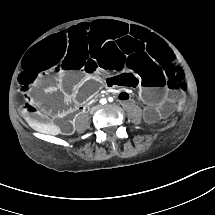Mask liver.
<instances>
[{
    "label": "liver",
    "instance_id": "6515ba94",
    "mask_svg": "<svg viewBox=\"0 0 215 215\" xmlns=\"http://www.w3.org/2000/svg\"><path fill=\"white\" fill-rule=\"evenodd\" d=\"M28 124L36 131L40 133H45L49 135H58L61 133V130L58 126L54 124H43V123H37L28 120Z\"/></svg>",
    "mask_w": 215,
    "mask_h": 215
}]
</instances>
